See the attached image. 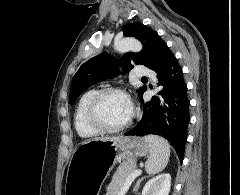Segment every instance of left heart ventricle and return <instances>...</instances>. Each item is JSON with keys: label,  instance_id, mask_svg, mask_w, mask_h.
I'll return each mask as SVG.
<instances>
[{"label": "left heart ventricle", "instance_id": "left-heart-ventricle-1", "mask_svg": "<svg viewBox=\"0 0 240 195\" xmlns=\"http://www.w3.org/2000/svg\"><path fill=\"white\" fill-rule=\"evenodd\" d=\"M132 110L129 99L121 95L108 96L101 106V115L111 126H120L129 121Z\"/></svg>", "mask_w": 240, "mask_h": 195}]
</instances>
